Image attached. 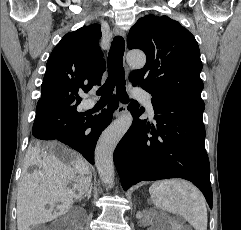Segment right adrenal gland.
Here are the masks:
<instances>
[{"label":"right adrenal gland","instance_id":"right-adrenal-gland-1","mask_svg":"<svg viewBox=\"0 0 241 230\" xmlns=\"http://www.w3.org/2000/svg\"><path fill=\"white\" fill-rule=\"evenodd\" d=\"M91 192H92V183H91V185L89 186V188H88V190L86 191V193H85L81 198H79L78 201H81V200L84 199V198H87V199L89 200L90 197H91Z\"/></svg>","mask_w":241,"mask_h":230}]
</instances>
